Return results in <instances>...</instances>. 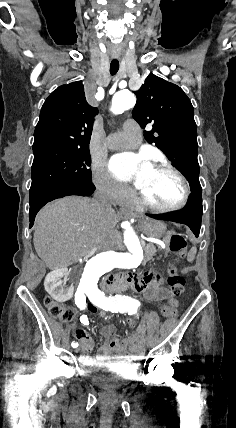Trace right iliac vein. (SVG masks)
I'll use <instances>...</instances> for the list:
<instances>
[{"label":"right iliac vein","mask_w":236,"mask_h":428,"mask_svg":"<svg viewBox=\"0 0 236 428\" xmlns=\"http://www.w3.org/2000/svg\"><path fill=\"white\" fill-rule=\"evenodd\" d=\"M80 344L82 343L81 341L79 342ZM77 348L74 350L75 354H78L79 351H81V346H76Z\"/></svg>","instance_id":"1"}]
</instances>
